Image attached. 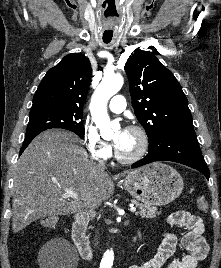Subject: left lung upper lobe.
<instances>
[{"mask_svg": "<svg viewBox=\"0 0 221 268\" xmlns=\"http://www.w3.org/2000/svg\"><path fill=\"white\" fill-rule=\"evenodd\" d=\"M124 68L134 113L145 128L149 143L175 130L193 129L181 85L153 53L135 51Z\"/></svg>", "mask_w": 221, "mask_h": 268, "instance_id": "5c2ea615", "label": "left lung upper lobe"}]
</instances>
